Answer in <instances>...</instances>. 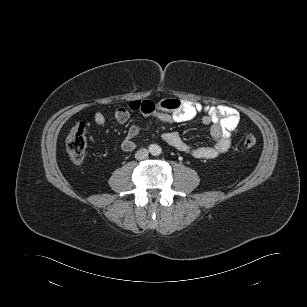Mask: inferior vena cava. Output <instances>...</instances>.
Returning <instances> with one entry per match:
<instances>
[{
    "instance_id": "602c4592",
    "label": "inferior vena cava",
    "mask_w": 307,
    "mask_h": 307,
    "mask_svg": "<svg viewBox=\"0 0 307 307\" xmlns=\"http://www.w3.org/2000/svg\"><path fill=\"white\" fill-rule=\"evenodd\" d=\"M148 154H149V151L145 148H142L135 153V158L137 160L146 159L148 157Z\"/></svg>"
}]
</instances>
